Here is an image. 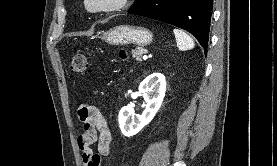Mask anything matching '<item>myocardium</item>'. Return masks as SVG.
I'll return each instance as SVG.
<instances>
[{"instance_id":"1","label":"myocardium","mask_w":277,"mask_h":166,"mask_svg":"<svg viewBox=\"0 0 277 166\" xmlns=\"http://www.w3.org/2000/svg\"><path fill=\"white\" fill-rule=\"evenodd\" d=\"M129 0H82V7L89 14L116 12L124 9Z\"/></svg>"}]
</instances>
